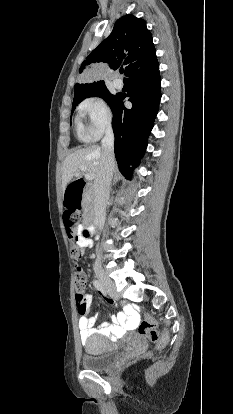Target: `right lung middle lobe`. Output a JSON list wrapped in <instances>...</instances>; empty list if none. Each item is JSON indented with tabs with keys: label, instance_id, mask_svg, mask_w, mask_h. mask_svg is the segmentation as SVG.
<instances>
[{
	"label": "right lung middle lobe",
	"instance_id": "right-lung-middle-lobe-1",
	"mask_svg": "<svg viewBox=\"0 0 233 414\" xmlns=\"http://www.w3.org/2000/svg\"><path fill=\"white\" fill-rule=\"evenodd\" d=\"M92 96H98V97H101V98H103L109 105H111L113 102H114V100L116 99V97H117V94L116 95H112L109 91H108V89H107V87H106V85H101V86H98V87H96V88H93L92 90H90V91H88V92H86L81 98H79V99H77V100H74L73 101V104H72V113H73V111L75 110V108H76V106L81 102V101H83L85 98H88V97H92Z\"/></svg>",
	"mask_w": 233,
	"mask_h": 414
}]
</instances>
